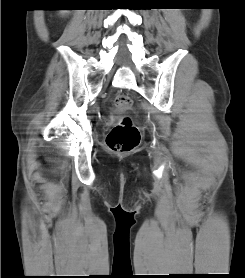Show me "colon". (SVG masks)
I'll use <instances>...</instances> for the list:
<instances>
[{
    "instance_id": "1",
    "label": "colon",
    "mask_w": 245,
    "mask_h": 278,
    "mask_svg": "<svg viewBox=\"0 0 245 278\" xmlns=\"http://www.w3.org/2000/svg\"><path fill=\"white\" fill-rule=\"evenodd\" d=\"M118 110L128 109L132 105V99L125 94H117L114 100ZM141 133L137 125L130 117H124L109 132L106 143L115 152H127L135 149L140 142Z\"/></svg>"
}]
</instances>
